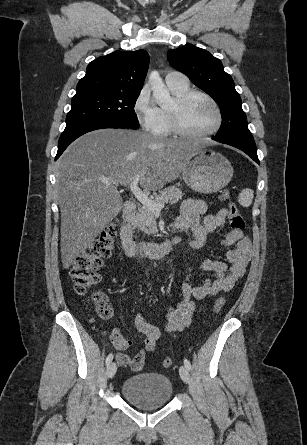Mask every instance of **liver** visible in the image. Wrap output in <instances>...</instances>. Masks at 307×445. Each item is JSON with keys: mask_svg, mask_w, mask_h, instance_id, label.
<instances>
[{"mask_svg": "<svg viewBox=\"0 0 307 445\" xmlns=\"http://www.w3.org/2000/svg\"><path fill=\"white\" fill-rule=\"evenodd\" d=\"M197 148L195 140L123 128H100L74 140L57 170L64 269L92 247L120 212L119 184L131 182L142 172V188L159 190L180 176Z\"/></svg>", "mask_w": 307, "mask_h": 445, "instance_id": "1", "label": "liver"}]
</instances>
